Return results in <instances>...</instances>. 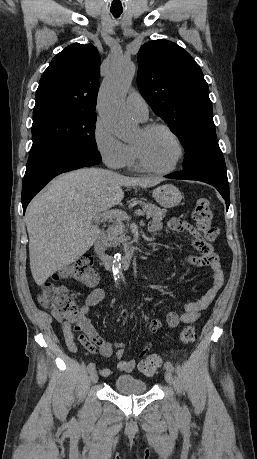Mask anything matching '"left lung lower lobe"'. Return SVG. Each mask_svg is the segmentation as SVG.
Segmentation results:
<instances>
[{"instance_id": "obj_1", "label": "left lung lower lobe", "mask_w": 257, "mask_h": 459, "mask_svg": "<svg viewBox=\"0 0 257 459\" xmlns=\"http://www.w3.org/2000/svg\"><path fill=\"white\" fill-rule=\"evenodd\" d=\"M206 159L197 168H184L172 173L167 178L198 180L214 186L226 202L227 210L230 205L229 183L223 154L217 141L210 142Z\"/></svg>"}]
</instances>
